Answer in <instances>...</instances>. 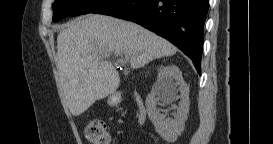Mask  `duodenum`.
<instances>
[{
    "label": "duodenum",
    "instance_id": "duodenum-1",
    "mask_svg": "<svg viewBox=\"0 0 273 144\" xmlns=\"http://www.w3.org/2000/svg\"><path fill=\"white\" fill-rule=\"evenodd\" d=\"M138 120L140 123H143L146 120L144 109L141 106L139 107Z\"/></svg>",
    "mask_w": 273,
    "mask_h": 144
}]
</instances>
